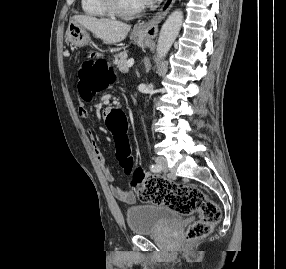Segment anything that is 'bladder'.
Returning a JSON list of instances; mask_svg holds the SVG:
<instances>
[{"label": "bladder", "mask_w": 286, "mask_h": 269, "mask_svg": "<svg viewBox=\"0 0 286 269\" xmlns=\"http://www.w3.org/2000/svg\"><path fill=\"white\" fill-rule=\"evenodd\" d=\"M181 219L178 212L160 205H136L126 210L128 228L137 236L167 229Z\"/></svg>", "instance_id": "1"}]
</instances>
